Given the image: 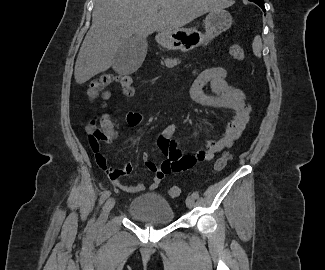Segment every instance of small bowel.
Segmentation results:
<instances>
[{
    "label": "small bowel",
    "mask_w": 325,
    "mask_h": 270,
    "mask_svg": "<svg viewBox=\"0 0 325 270\" xmlns=\"http://www.w3.org/2000/svg\"><path fill=\"white\" fill-rule=\"evenodd\" d=\"M225 77L226 72L220 66L197 70L194 73V80L189 91L191 100L200 106L227 108L233 112V117L225 126L224 134L220 139L207 141L206 148L197 151L194 155H183L175 139L178 127L175 124L167 125L158 138L159 147L166 159L157 165L147 153L141 157L147 170L154 174L148 186L143 184L128 186L119 181L121 176L132 172L133 166L130 162H126L122 168H111L103 154H96L95 160L98 166L108 174L116 187L129 193H138L146 189L155 190L170 172L187 170L193 167L196 162L211 160L217 153L230 148L245 128L250 107L245 104L243 92L228 85ZM207 84L210 85L211 94L204 91ZM125 118L131 126H138L142 121V115L133 111L125 112Z\"/></svg>",
    "instance_id": "obj_1"
}]
</instances>
